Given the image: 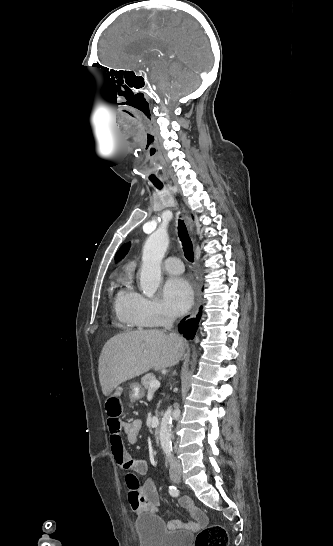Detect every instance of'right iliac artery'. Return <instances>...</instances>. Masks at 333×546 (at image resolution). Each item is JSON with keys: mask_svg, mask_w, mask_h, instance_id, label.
I'll list each match as a JSON object with an SVG mask.
<instances>
[{"mask_svg": "<svg viewBox=\"0 0 333 546\" xmlns=\"http://www.w3.org/2000/svg\"><path fill=\"white\" fill-rule=\"evenodd\" d=\"M169 493L173 497H177L179 495V491L175 486H170L169 487Z\"/></svg>", "mask_w": 333, "mask_h": 546, "instance_id": "obj_1", "label": "right iliac artery"}]
</instances>
